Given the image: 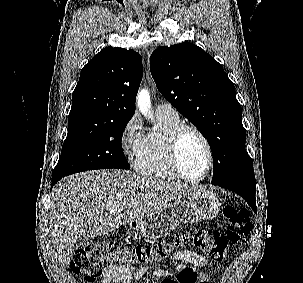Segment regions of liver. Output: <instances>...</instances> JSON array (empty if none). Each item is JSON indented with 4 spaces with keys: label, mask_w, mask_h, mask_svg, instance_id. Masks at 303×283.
I'll return each mask as SVG.
<instances>
[{
    "label": "liver",
    "mask_w": 303,
    "mask_h": 283,
    "mask_svg": "<svg viewBox=\"0 0 303 283\" xmlns=\"http://www.w3.org/2000/svg\"><path fill=\"white\" fill-rule=\"evenodd\" d=\"M200 189L121 170L86 171L63 178L52 190L49 214L51 242L62 271L79 237L107 234L159 213L176 198Z\"/></svg>",
    "instance_id": "1"
}]
</instances>
